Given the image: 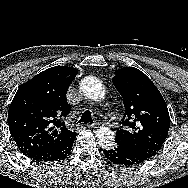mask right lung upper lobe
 <instances>
[{
	"label": "right lung upper lobe",
	"instance_id": "cb5924a9",
	"mask_svg": "<svg viewBox=\"0 0 188 188\" xmlns=\"http://www.w3.org/2000/svg\"><path fill=\"white\" fill-rule=\"evenodd\" d=\"M78 70L51 67L22 84L8 111V125L23 154L53 147L76 134L62 121L70 111L65 94Z\"/></svg>",
	"mask_w": 188,
	"mask_h": 188
}]
</instances>
